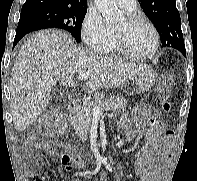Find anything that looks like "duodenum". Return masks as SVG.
<instances>
[{"mask_svg":"<svg viewBox=\"0 0 197 181\" xmlns=\"http://www.w3.org/2000/svg\"><path fill=\"white\" fill-rule=\"evenodd\" d=\"M80 109V104L78 101L73 100L70 104H69V111L70 113H76L78 112Z\"/></svg>","mask_w":197,"mask_h":181,"instance_id":"obj_1","label":"duodenum"}]
</instances>
